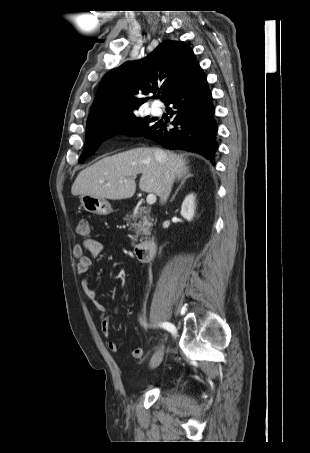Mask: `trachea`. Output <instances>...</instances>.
I'll list each match as a JSON object with an SVG mask.
<instances>
[{
    "label": "trachea",
    "mask_w": 310,
    "mask_h": 453,
    "mask_svg": "<svg viewBox=\"0 0 310 453\" xmlns=\"http://www.w3.org/2000/svg\"><path fill=\"white\" fill-rule=\"evenodd\" d=\"M157 98H160V95L156 96Z\"/></svg>",
    "instance_id": "3493384b"
}]
</instances>
